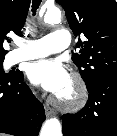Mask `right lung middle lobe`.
Here are the masks:
<instances>
[{"label": "right lung middle lobe", "instance_id": "obj_1", "mask_svg": "<svg viewBox=\"0 0 117 136\" xmlns=\"http://www.w3.org/2000/svg\"><path fill=\"white\" fill-rule=\"evenodd\" d=\"M3 61H4V58L0 59V77H8L15 74L16 72H9V73L4 72L3 66H2Z\"/></svg>", "mask_w": 117, "mask_h": 136}]
</instances>
